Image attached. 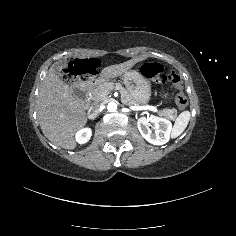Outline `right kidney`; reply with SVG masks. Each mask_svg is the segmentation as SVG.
<instances>
[{
  "mask_svg": "<svg viewBox=\"0 0 236 236\" xmlns=\"http://www.w3.org/2000/svg\"><path fill=\"white\" fill-rule=\"evenodd\" d=\"M92 131L90 128H83L76 132L75 139L79 144H85L91 138Z\"/></svg>",
  "mask_w": 236,
  "mask_h": 236,
  "instance_id": "obj_1",
  "label": "right kidney"
}]
</instances>
